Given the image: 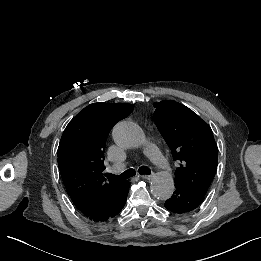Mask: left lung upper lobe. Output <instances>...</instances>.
Listing matches in <instances>:
<instances>
[{"label":"left lung upper lobe","instance_id":"obj_1","mask_svg":"<svg viewBox=\"0 0 261 261\" xmlns=\"http://www.w3.org/2000/svg\"><path fill=\"white\" fill-rule=\"evenodd\" d=\"M154 120L180 163L175 183L206 194L217 169L218 150L210 126L188 107L172 100L154 103Z\"/></svg>","mask_w":261,"mask_h":261}]
</instances>
